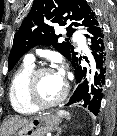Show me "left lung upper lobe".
<instances>
[{"mask_svg": "<svg viewBox=\"0 0 117 136\" xmlns=\"http://www.w3.org/2000/svg\"><path fill=\"white\" fill-rule=\"evenodd\" d=\"M67 23V36L75 27L86 32L100 26L95 12L84 0H34L32 8L14 36L13 47L8 60L11 71L22 55L36 45H53L70 62L76 57L74 47L67 42L58 43L55 26Z\"/></svg>", "mask_w": 117, "mask_h": 136, "instance_id": "left-lung-upper-lobe-1", "label": "left lung upper lobe"}]
</instances>
